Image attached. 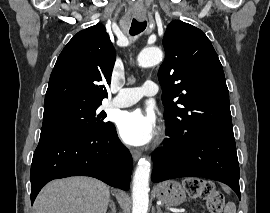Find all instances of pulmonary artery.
<instances>
[{"instance_id":"obj_1","label":"pulmonary artery","mask_w":270,"mask_h":213,"mask_svg":"<svg viewBox=\"0 0 270 213\" xmlns=\"http://www.w3.org/2000/svg\"><path fill=\"white\" fill-rule=\"evenodd\" d=\"M158 92V84L147 80L142 87L120 89L118 95L113 98L112 105L115 107L131 106L145 97L154 96Z\"/></svg>"}]
</instances>
